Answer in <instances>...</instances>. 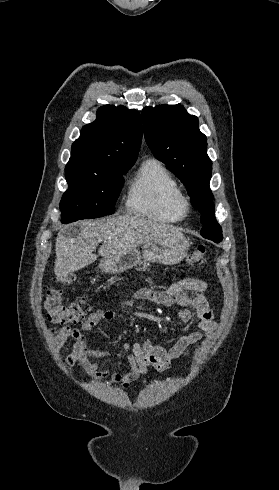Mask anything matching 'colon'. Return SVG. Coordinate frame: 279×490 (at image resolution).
Returning a JSON list of instances; mask_svg holds the SVG:
<instances>
[{"instance_id":"colon-1","label":"colon","mask_w":279,"mask_h":490,"mask_svg":"<svg viewBox=\"0 0 279 490\" xmlns=\"http://www.w3.org/2000/svg\"><path fill=\"white\" fill-rule=\"evenodd\" d=\"M206 254V246L199 244L187 257V264L189 266L202 265ZM75 276L71 273H67L54 279L53 284L48 288L44 296V308L48 314V320L54 324L61 325H73L82 323L85 314V302L80 300L69 306H65L63 302V290L64 285L74 282Z\"/></svg>"}]
</instances>
